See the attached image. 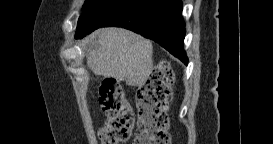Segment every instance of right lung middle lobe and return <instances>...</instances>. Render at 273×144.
I'll list each match as a JSON object with an SVG mask.
<instances>
[{
    "label": "right lung middle lobe",
    "mask_w": 273,
    "mask_h": 144,
    "mask_svg": "<svg viewBox=\"0 0 273 144\" xmlns=\"http://www.w3.org/2000/svg\"><path fill=\"white\" fill-rule=\"evenodd\" d=\"M114 0H86L83 5V14L78 20L76 38L86 35L91 25L103 9Z\"/></svg>",
    "instance_id": "right-lung-middle-lobe-1"
}]
</instances>
